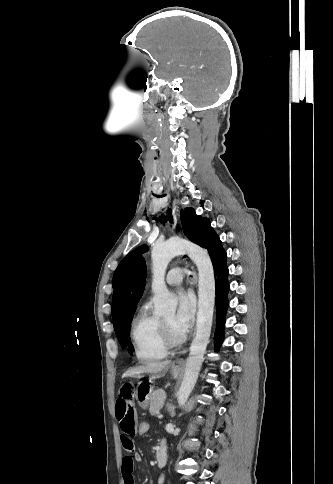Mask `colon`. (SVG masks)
Instances as JSON below:
<instances>
[{
	"instance_id": "1",
	"label": "colon",
	"mask_w": 333,
	"mask_h": 484,
	"mask_svg": "<svg viewBox=\"0 0 333 484\" xmlns=\"http://www.w3.org/2000/svg\"><path fill=\"white\" fill-rule=\"evenodd\" d=\"M150 428H151V425H150V423L148 421H146V420H140L137 423L136 435L137 436H141V437L142 436H145L150 431Z\"/></svg>"
}]
</instances>
